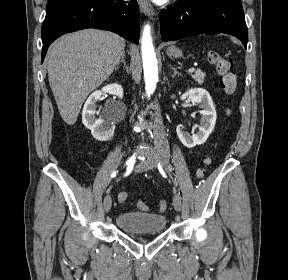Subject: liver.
Returning <instances> with one entry per match:
<instances>
[{"instance_id": "liver-1", "label": "liver", "mask_w": 288, "mask_h": 280, "mask_svg": "<svg viewBox=\"0 0 288 280\" xmlns=\"http://www.w3.org/2000/svg\"><path fill=\"white\" fill-rule=\"evenodd\" d=\"M117 34L86 29L67 34L48 53V80L62 119L73 125L87 96L113 72L124 53Z\"/></svg>"}]
</instances>
